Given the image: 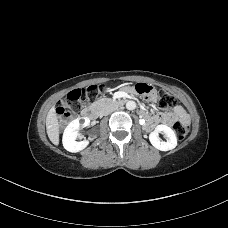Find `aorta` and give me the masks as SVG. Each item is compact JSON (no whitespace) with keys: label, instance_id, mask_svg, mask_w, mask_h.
I'll return each mask as SVG.
<instances>
[{"label":"aorta","instance_id":"1","mask_svg":"<svg viewBox=\"0 0 228 228\" xmlns=\"http://www.w3.org/2000/svg\"><path fill=\"white\" fill-rule=\"evenodd\" d=\"M126 108L128 110H134L136 108V103L134 101H128L126 103Z\"/></svg>","mask_w":228,"mask_h":228}]
</instances>
